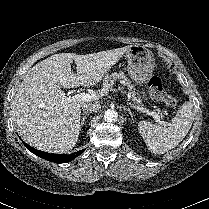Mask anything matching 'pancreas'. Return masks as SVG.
<instances>
[{"label": "pancreas", "mask_w": 209, "mask_h": 209, "mask_svg": "<svg viewBox=\"0 0 209 209\" xmlns=\"http://www.w3.org/2000/svg\"><path fill=\"white\" fill-rule=\"evenodd\" d=\"M117 80L124 82V84L127 86V88L129 89L132 95L133 102L136 103L137 105H141L142 101L140 97L137 96L138 93L135 91L134 85L132 84L130 79L124 74V72H119V73L114 72L111 74H107L102 81V88L99 92H102L103 94H107L112 88V85Z\"/></svg>", "instance_id": "obj_1"}]
</instances>
